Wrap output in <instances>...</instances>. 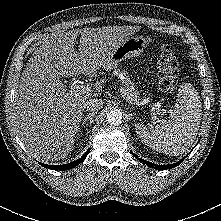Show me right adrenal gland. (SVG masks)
<instances>
[{
  "label": "right adrenal gland",
  "mask_w": 221,
  "mask_h": 221,
  "mask_svg": "<svg viewBox=\"0 0 221 221\" xmlns=\"http://www.w3.org/2000/svg\"><path fill=\"white\" fill-rule=\"evenodd\" d=\"M96 112L89 113L88 115L84 116L83 118V124L86 123V121L89 119L90 120V125L93 123V117L95 116Z\"/></svg>",
  "instance_id": "obj_1"
}]
</instances>
